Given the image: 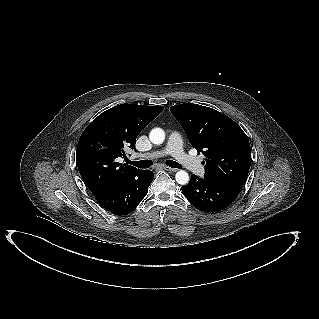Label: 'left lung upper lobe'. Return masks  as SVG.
Instances as JSON below:
<instances>
[{"label": "left lung upper lobe", "instance_id": "1", "mask_svg": "<svg viewBox=\"0 0 319 319\" xmlns=\"http://www.w3.org/2000/svg\"><path fill=\"white\" fill-rule=\"evenodd\" d=\"M170 110L193 147L205 155L204 178L240 193L251 163L250 144L243 130L228 116L210 107L186 103Z\"/></svg>", "mask_w": 319, "mask_h": 319}]
</instances>
